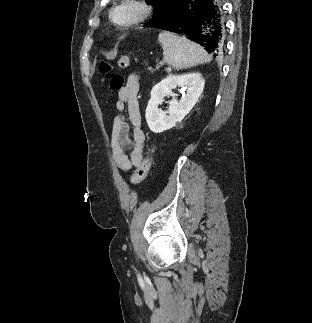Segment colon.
<instances>
[{"instance_id": "1", "label": "colon", "mask_w": 312, "mask_h": 323, "mask_svg": "<svg viewBox=\"0 0 312 323\" xmlns=\"http://www.w3.org/2000/svg\"><path fill=\"white\" fill-rule=\"evenodd\" d=\"M117 64L121 68H127L129 66V57L126 54L121 55L117 60ZM108 69H110L109 64L104 63L101 70L106 71ZM123 85H124V78L120 74L115 75L110 80V88L113 92L120 91L123 88ZM151 152L152 150H150V154H148L143 160V162L138 166L133 177V181L135 183H140L143 180H145V178L147 177V174L153 163Z\"/></svg>"}]
</instances>
